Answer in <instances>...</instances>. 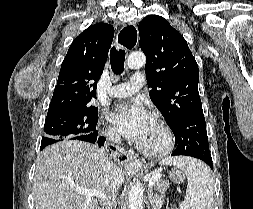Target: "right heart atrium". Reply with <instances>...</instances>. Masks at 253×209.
Masks as SVG:
<instances>
[{
  "label": "right heart atrium",
  "instance_id": "1",
  "mask_svg": "<svg viewBox=\"0 0 253 209\" xmlns=\"http://www.w3.org/2000/svg\"><path fill=\"white\" fill-rule=\"evenodd\" d=\"M102 134L110 141H117L118 140V134L116 133V131L112 128L109 127H104L102 129Z\"/></svg>",
  "mask_w": 253,
  "mask_h": 209
}]
</instances>
